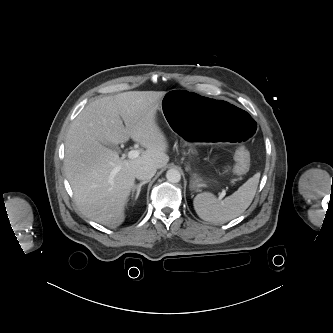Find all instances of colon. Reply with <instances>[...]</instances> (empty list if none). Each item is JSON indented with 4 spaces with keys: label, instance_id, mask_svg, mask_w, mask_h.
I'll return each mask as SVG.
<instances>
[{
    "label": "colon",
    "instance_id": "5ec220e1",
    "mask_svg": "<svg viewBox=\"0 0 333 333\" xmlns=\"http://www.w3.org/2000/svg\"><path fill=\"white\" fill-rule=\"evenodd\" d=\"M236 159V172L244 173L247 171L249 166V152L245 147H239L235 154Z\"/></svg>",
    "mask_w": 333,
    "mask_h": 333
}]
</instances>
